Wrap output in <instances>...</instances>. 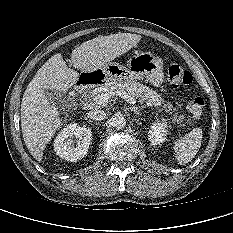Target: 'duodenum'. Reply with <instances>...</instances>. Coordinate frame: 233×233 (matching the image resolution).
Segmentation results:
<instances>
[{
    "instance_id": "duodenum-1",
    "label": "duodenum",
    "mask_w": 233,
    "mask_h": 233,
    "mask_svg": "<svg viewBox=\"0 0 233 233\" xmlns=\"http://www.w3.org/2000/svg\"><path fill=\"white\" fill-rule=\"evenodd\" d=\"M102 78V75L98 73L83 75L78 79L76 83V88L78 90H85L89 87L101 83Z\"/></svg>"
}]
</instances>
